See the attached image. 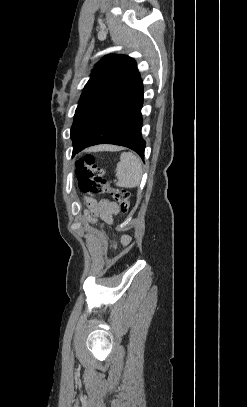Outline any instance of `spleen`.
Masks as SVG:
<instances>
[{
	"label": "spleen",
	"instance_id": "1",
	"mask_svg": "<svg viewBox=\"0 0 247 407\" xmlns=\"http://www.w3.org/2000/svg\"><path fill=\"white\" fill-rule=\"evenodd\" d=\"M116 176L118 187L135 188L139 186L142 178L141 159L131 152L122 153L116 167Z\"/></svg>",
	"mask_w": 247,
	"mask_h": 407
}]
</instances>
